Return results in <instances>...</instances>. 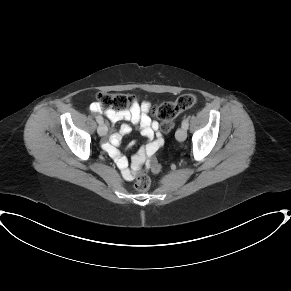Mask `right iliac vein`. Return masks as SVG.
I'll return each instance as SVG.
<instances>
[{
	"label": "right iliac vein",
	"instance_id": "obj_1",
	"mask_svg": "<svg viewBox=\"0 0 291 291\" xmlns=\"http://www.w3.org/2000/svg\"><path fill=\"white\" fill-rule=\"evenodd\" d=\"M107 131H108L107 126L103 123H101L97 128V132L100 136L106 135Z\"/></svg>",
	"mask_w": 291,
	"mask_h": 291
}]
</instances>
